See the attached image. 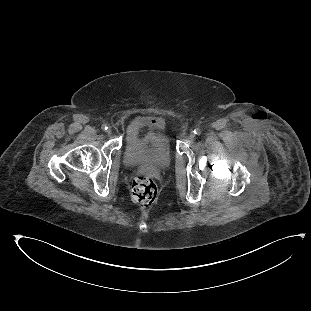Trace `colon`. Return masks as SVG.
I'll use <instances>...</instances> for the list:
<instances>
[{
	"label": "colon",
	"instance_id": "1",
	"mask_svg": "<svg viewBox=\"0 0 311 311\" xmlns=\"http://www.w3.org/2000/svg\"><path fill=\"white\" fill-rule=\"evenodd\" d=\"M158 189L154 180L149 176H138L132 183V198L135 203L148 206L157 197Z\"/></svg>",
	"mask_w": 311,
	"mask_h": 311
}]
</instances>
